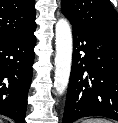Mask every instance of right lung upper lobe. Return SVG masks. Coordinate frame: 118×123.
I'll use <instances>...</instances> for the list:
<instances>
[{
	"instance_id": "cb5924a9",
	"label": "right lung upper lobe",
	"mask_w": 118,
	"mask_h": 123,
	"mask_svg": "<svg viewBox=\"0 0 118 123\" xmlns=\"http://www.w3.org/2000/svg\"><path fill=\"white\" fill-rule=\"evenodd\" d=\"M35 16L34 0H0V41L34 31Z\"/></svg>"
}]
</instances>
